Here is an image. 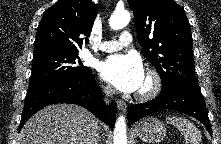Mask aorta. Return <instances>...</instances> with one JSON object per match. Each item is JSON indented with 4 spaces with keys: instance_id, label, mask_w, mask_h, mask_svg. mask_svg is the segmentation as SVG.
<instances>
[{
    "instance_id": "aorta-1",
    "label": "aorta",
    "mask_w": 221,
    "mask_h": 144,
    "mask_svg": "<svg viewBox=\"0 0 221 144\" xmlns=\"http://www.w3.org/2000/svg\"><path fill=\"white\" fill-rule=\"evenodd\" d=\"M130 22V13L127 10L115 11L110 19L109 25L113 30H119L128 25ZM113 144H127V131L125 117H118L113 136Z\"/></svg>"
}]
</instances>
